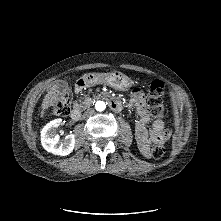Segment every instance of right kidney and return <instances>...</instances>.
Here are the masks:
<instances>
[{
    "label": "right kidney",
    "mask_w": 221,
    "mask_h": 221,
    "mask_svg": "<svg viewBox=\"0 0 221 221\" xmlns=\"http://www.w3.org/2000/svg\"><path fill=\"white\" fill-rule=\"evenodd\" d=\"M61 124L62 119L60 118L46 124L41 131V144L43 148L50 153L66 156L74 149L75 136L69 134L64 139L60 140L57 130Z\"/></svg>",
    "instance_id": "ca27d5eb"
}]
</instances>
